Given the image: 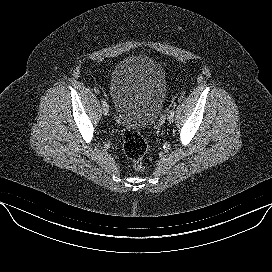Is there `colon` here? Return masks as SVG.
Instances as JSON below:
<instances>
[{
	"label": "colon",
	"instance_id": "1",
	"mask_svg": "<svg viewBox=\"0 0 272 272\" xmlns=\"http://www.w3.org/2000/svg\"><path fill=\"white\" fill-rule=\"evenodd\" d=\"M123 150L130 159L133 168L136 171H144V157L148 150V144L142 135L134 129L126 128L122 133Z\"/></svg>",
	"mask_w": 272,
	"mask_h": 272
}]
</instances>
